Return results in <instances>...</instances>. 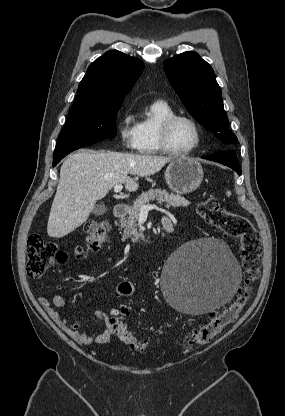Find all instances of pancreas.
<instances>
[{
    "label": "pancreas",
    "instance_id": "obj_1",
    "mask_svg": "<svg viewBox=\"0 0 285 416\" xmlns=\"http://www.w3.org/2000/svg\"><path fill=\"white\" fill-rule=\"evenodd\" d=\"M151 200H158V204L166 202V206H172V208H178V206H189L190 202L182 198V196H175V194H169L166 190H148L141 194L137 200H135L132 208H130L129 216L127 220H120L121 228H124L122 234L123 238H131L132 242H138L140 234L137 228V218L140 216V208L144 204H148Z\"/></svg>",
    "mask_w": 285,
    "mask_h": 416
}]
</instances>
